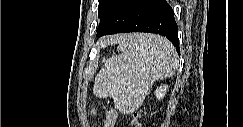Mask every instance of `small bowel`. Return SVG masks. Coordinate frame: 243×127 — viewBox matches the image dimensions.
<instances>
[{"label": "small bowel", "instance_id": "small-bowel-1", "mask_svg": "<svg viewBox=\"0 0 243 127\" xmlns=\"http://www.w3.org/2000/svg\"><path fill=\"white\" fill-rule=\"evenodd\" d=\"M96 110L92 109L91 114H95ZM118 118V111L115 108H112L107 111L105 116V127H114Z\"/></svg>", "mask_w": 243, "mask_h": 127}]
</instances>
